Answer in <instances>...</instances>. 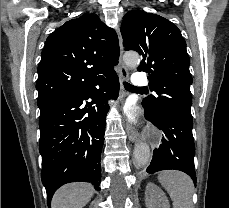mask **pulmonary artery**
Instances as JSON below:
<instances>
[{"label": "pulmonary artery", "mask_w": 229, "mask_h": 208, "mask_svg": "<svg viewBox=\"0 0 229 208\" xmlns=\"http://www.w3.org/2000/svg\"><path fill=\"white\" fill-rule=\"evenodd\" d=\"M135 76L145 77V72H136ZM148 82V78H133V87H146Z\"/></svg>", "instance_id": "pulmonary-artery-1"}]
</instances>
